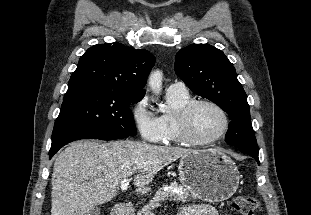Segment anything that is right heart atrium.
<instances>
[{"label":"right heart atrium","mask_w":311,"mask_h":215,"mask_svg":"<svg viewBox=\"0 0 311 215\" xmlns=\"http://www.w3.org/2000/svg\"><path fill=\"white\" fill-rule=\"evenodd\" d=\"M132 120L140 136L152 143L165 140L166 131L160 117L152 110L146 96L140 97L131 107Z\"/></svg>","instance_id":"1"}]
</instances>
